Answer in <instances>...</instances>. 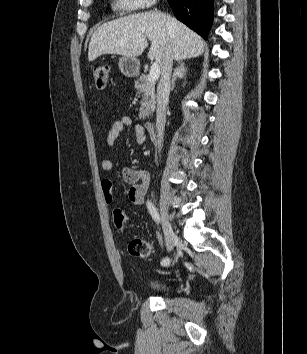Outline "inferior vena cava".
Wrapping results in <instances>:
<instances>
[{"mask_svg":"<svg viewBox=\"0 0 307 354\" xmlns=\"http://www.w3.org/2000/svg\"><path fill=\"white\" fill-rule=\"evenodd\" d=\"M173 65L171 48L167 46L161 63V78L157 87V109H156V130L158 143L157 148L160 153L162 148L163 134L166 122V106L170 94V77Z\"/></svg>","mask_w":307,"mask_h":354,"instance_id":"602c4592","label":"inferior vena cava"}]
</instances>
